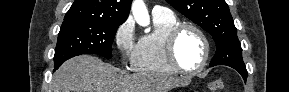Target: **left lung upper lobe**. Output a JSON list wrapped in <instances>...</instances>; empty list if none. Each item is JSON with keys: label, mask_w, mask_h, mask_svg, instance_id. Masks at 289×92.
Returning a JSON list of instances; mask_svg holds the SVG:
<instances>
[{"label": "left lung upper lobe", "mask_w": 289, "mask_h": 92, "mask_svg": "<svg viewBox=\"0 0 289 92\" xmlns=\"http://www.w3.org/2000/svg\"><path fill=\"white\" fill-rule=\"evenodd\" d=\"M166 1L212 35L217 49L210 66L227 65L245 68L237 29L224 0Z\"/></svg>", "instance_id": "1"}]
</instances>
